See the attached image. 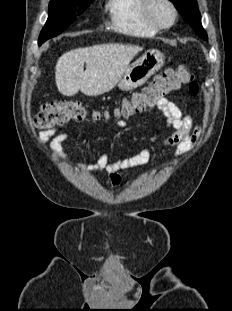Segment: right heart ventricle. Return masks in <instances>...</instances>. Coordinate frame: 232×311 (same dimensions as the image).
<instances>
[{
    "label": "right heart ventricle",
    "instance_id": "1",
    "mask_svg": "<svg viewBox=\"0 0 232 311\" xmlns=\"http://www.w3.org/2000/svg\"><path fill=\"white\" fill-rule=\"evenodd\" d=\"M143 0H107L105 9L109 24L116 31L137 37H148L159 30L150 26L142 15Z\"/></svg>",
    "mask_w": 232,
    "mask_h": 311
}]
</instances>
